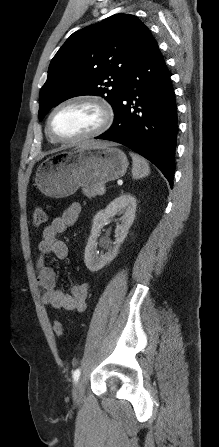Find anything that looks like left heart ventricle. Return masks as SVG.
<instances>
[{"label": "left heart ventricle", "instance_id": "obj_1", "mask_svg": "<svg viewBox=\"0 0 219 447\" xmlns=\"http://www.w3.org/2000/svg\"><path fill=\"white\" fill-rule=\"evenodd\" d=\"M99 122L100 113L94 106L79 103L60 109L52 119V128L60 137L74 138L92 131Z\"/></svg>", "mask_w": 219, "mask_h": 447}]
</instances>
